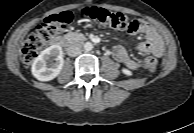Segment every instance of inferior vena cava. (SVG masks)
I'll return each mask as SVG.
<instances>
[{"label":"inferior vena cava","mask_w":194,"mask_h":133,"mask_svg":"<svg viewBox=\"0 0 194 133\" xmlns=\"http://www.w3.org/2000/svg\"><path fill=\"white\" fill-rule=\"evenodd\" d=\"M81 53V48L79 46L73 45L67 48V54L71 57H76Z\"/></svg>","instance_id":"obj_1"}]
</instances>
